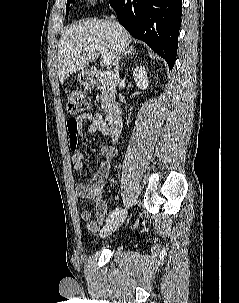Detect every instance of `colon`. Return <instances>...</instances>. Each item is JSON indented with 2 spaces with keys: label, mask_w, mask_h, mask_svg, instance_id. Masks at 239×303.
<instances>
[{
  "label": "colon",
  "mask_w": 239,
  "mask_h": 303,
  "mask_svg": "<svg viewBox=\"0 0 239 303\" xmlns=\"http://www.w3.org/2000/svg\"><path fill=\"white\" fill-rule=\"evenodd\" d=\"M89 100L78 88H70L66 92V107L71 115L86 113L89 109ZM70 130H76V124L70 123Z\"/></svg>",
  "instance_id": "5ec220e1"
}]
</instances>
